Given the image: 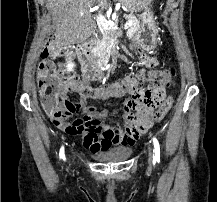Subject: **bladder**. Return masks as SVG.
I'll return each instance as SVG.
<instances>
[{
  "instance_id": "1",
  "label": "bladder",
  "mask_w": 217,
  "mask_h": 202,
  "mask_svg": "<svg viewBox=\"0 0 217 202\" xmlns=\"http://www.w3.org/2000/svg\"><path fill=\"white\" fill-rule=\"evenodd\" d=\"M131 152V149H112L100 154H96L95 158L106 160H122L130 156Z\"/></svg>"
}]
</instances>
